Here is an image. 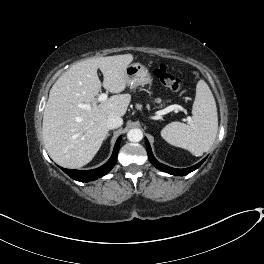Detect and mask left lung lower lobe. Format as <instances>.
<instances>
[{
    "instance_id": "1",
    "label": "left lung lower lobe",
    "mask_w": 264,
    "mask_h": 264,
    "mask_svg": "<svg viewBox=\"0 0 264 264\" xmlns=\"http://www.w3.org/2000/svg\"><path fill=\"white\" fill-rule=\"evenodd\" d=\"M145 142H146V148H147V154H148V157H149V160L150 162L156 167L158 168L159 170H162V171H165L169 174H172V175H177V176H184V175H187L189 174L190 172L196 170L197 168H199L202 163L205 161V159L207 158H204L202 161H200L198 164L192 166V167H189V168H185V169H175V168H172V167H169V166H166L160 162H158L155 157L153 156V153H152V150H151V147H150V144L148 142V140L145 138Z\"/></svg>"
}]
</instances>
